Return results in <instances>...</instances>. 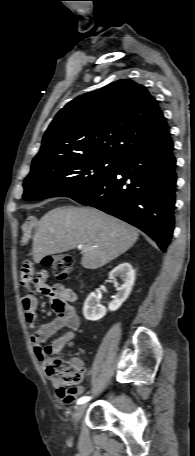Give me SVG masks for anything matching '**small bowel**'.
Segmentation results:
<instances>
[{
  "instance_id": "c3829d8e",
  "label": "small bowel",
  "mask_w": 195,
  "mask_h": 456,
  "mask_svg": "<svg viewBox=\"0 0 195 456\" xmlns=\"http://www.w3.org/2000/svg\"><path fill=\"white\" fill-rule=\"evenodd\" d=\"M35 224L36 219L33 216L25 218L21 226L23 243L29 241ZM47 280L48 273L45 270L35 272L29 264L23 265L20 275L21 285L27 287L33 283L42 294L50 298L53 309L57 314L53 321L40 326L30 335L35 354L40 361L45 360L46 351L58 353L63 348L71 346L75 336L74 331L80 326V318L73 306V303L78 298L75 291L60 283L50 286L47 284ZM21 305L26 323L30 328H34L38 309L37 298L33 294H27L22 297ZM61 329H66V332L54 339L49 346L43 348L42 344ZM75 360L82 364L80 360ZM50 381L55 389L56 396L65 404L72 403L84 392L82 386L66 388L56 378L51 377Z\"/></svg>"
}]
</instances>
